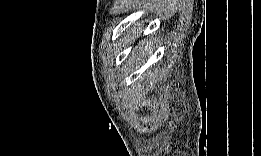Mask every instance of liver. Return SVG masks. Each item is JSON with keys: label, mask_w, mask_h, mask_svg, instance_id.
Returning a JSON list of instances; mask_svg holds the SVG:
<instances>
[{"label": "liver", "mask_w": 261, "mask_h": 156, "mask_svg": "<svg viewBox=\"0 0 261 156\" xmlns=\"http://www.w3.org/2000/svg\"><path fill=\"white\" fill-rule=\"evenodd\" d=\"M140 53H142V50L140 51V50H137V54H140Z\"/></svg>", "instance_id": "1"}]
</instances>
